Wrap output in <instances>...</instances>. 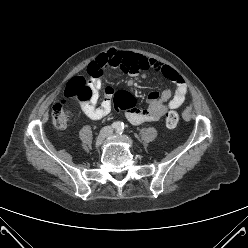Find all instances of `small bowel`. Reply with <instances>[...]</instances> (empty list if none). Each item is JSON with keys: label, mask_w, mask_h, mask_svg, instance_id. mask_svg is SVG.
<instances>
[{"label": "small bowel", "mask_w": 248, "mask_h": 248, "mask_svg": "<svg viewBox=\"0 0 248 248\" xmlns=\"http://www.w3.org/2000/svg\"><path fill=\"white\" fill-rule=\"evenodd\" d=\"M90 66L109 70L119 69L141 78L146 76L147 71H152L161 74L175 85L173 91L165 89L162 92H151L148 95L149 105L145 109H138L133 105L127 111L126 116L134 125L159 120L167 111L178 108L184 102L187 95L188 88L184 78L172 67L149 57L111 51L101 56ZM89 85L92 89V96L88 101L82 102V110L88 118L99 120L110 113L111 98L115 90L112 87H107L105 89V99L97 107L96 104L99 98V91L102 88V81L100 78H94L89 82Z\"/></svg>", "instance_id": "small-bowel-1"}]
</instances>
